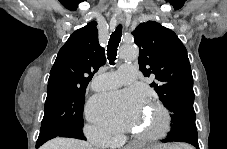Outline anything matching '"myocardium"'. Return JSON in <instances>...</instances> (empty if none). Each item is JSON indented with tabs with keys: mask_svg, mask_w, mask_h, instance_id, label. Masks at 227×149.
Segmentation results:
<instances>
[{
	"mask_svg": "<svg viewBox=\"0 0 227 149\" xmlns=\"http://www.w3.org/2000/svg\"><path fill=\"white\" fill-rule=\"evenodd\" d=\"M149 104L154 107L161 115V124L154 131L146 134H135V138L141 142H153L163 138L171 128V115L169 110L158 101H149Z\"/></svg>",
	"mask_w": 227,
	"mask_h": 149,
	"instance_id": "obj_1",
	"label": "myocardium"
}]
</instances>
